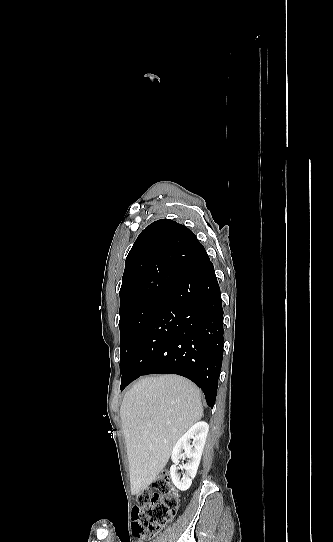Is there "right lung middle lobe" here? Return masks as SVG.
Instances as JSON below:
<instances>
[{
  "label": "right lung middle lobe",
  "instance_id": "obj_1",
  "mask_svg": "<svg viewBox=\"0 0 333 542\" xmlns=\"http://www.w3.org/2000/svg\"><path fill=\"white\" fill-rule=\"evenodd\" d=\"M167 292L153 294L137 304L119 311L120 321V375L132 359L133 351L141 332L157 306L164 301Z\"/></svg>",
  "mask_w": 333,
  "mask_h": 542
}]
</instances>
